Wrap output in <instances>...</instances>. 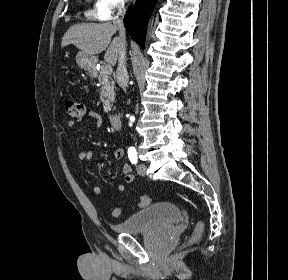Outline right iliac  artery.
I'll return each mask as SVG.
<instances>
[{"mask_svg": "<svg viewBox=\"0 0 288 280\" xmlns=\"http://www.w3.org/2000/svg\"><path fill=\"white\" fill-rule=\"evenodd\" d=\"M128 158L131 161L132 164L137 163V152L134 147H130L128 149Z\"/></svg>", "mask_w": 288, "mask_h": 280, "instance_id": "1", "label": "right iliac artery"}]
</instances>
